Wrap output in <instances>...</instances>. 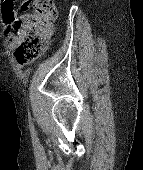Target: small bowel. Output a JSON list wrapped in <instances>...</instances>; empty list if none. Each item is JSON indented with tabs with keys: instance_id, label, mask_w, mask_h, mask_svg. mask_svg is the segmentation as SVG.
Here are the masks:
<instances>
[{
	"instance_id": "obj_1",
	"label": "small bowel",
	"mask_w": 143,
	"mask_h": 170,
	"mask_svg": "<svg viewBox=\"0 0 143 170\" xmlns=\"http://www.w3.org/2000/svg\"><path fill=\"white\" fill-rule=\"evenodd\" d=\"M13 7H14V11L16 13L18 10L17 6H16V0H14ZM29 7H30V0H24L18 6V8H20L23 11H27L29 9ZM5 32H6V36H7L8 40H9V46L11 48H16L19 44L20 39H21L22 31L21 30L14 31L13 27L11 25H7L5 27Z\"/></svg>"
}]
</instances>
